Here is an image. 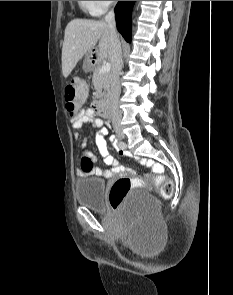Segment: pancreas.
Listing matches in <instances>:
<instances>
[{
	"instance_id": "1",
	"label": "pancreas",
	"mask_w": 233,
	"mask_h": 295,
	"mask_svg": "<svg viewBox=\"0 0 233 295\" xmlns=\"http://www.w3.org/2000/svg\"><path fill=\"white\" fill-rule=\"evenodd\" d=\"M101 64H97L93 71L92 82L98 96H105L106 91L109 90L111 73H100Z\"/></svg>"
}]
</instances>
